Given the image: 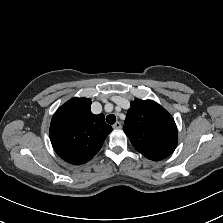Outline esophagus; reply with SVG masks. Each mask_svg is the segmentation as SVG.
Returning a JSON list of instances; mask_svg holds the SVG:
<instances>
[{
  "label": "esophagus",
  "mask_w": 223,
  "mask_h": 223,
  "mask_svg": "<svg viewBox=\"0 0 223 223\" xmlns=\"http://www.w3.org/2000/svg\"><path fill=\"white\" fill-rule=\"evenodd\" d=\"M113 129H120L122 127L121 123L120 122H116L115 124H113Z\"/></svg>",
  "instance_id": "esophagus-1"
}]
</instances>
